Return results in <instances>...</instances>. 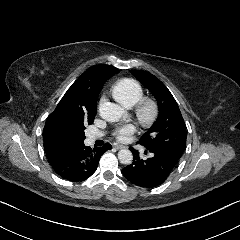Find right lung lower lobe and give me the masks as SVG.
Segmentation results:
<instances>
[{"mask_svg":"<svg viewBox=\"0 0 240 240\" xmlns=\"http://www.w3.org/2000/svg\"><path fill=\"white\" fill-rule=\"evenodd\" d=\"M109 143L97 149H91L84 143L76 147L57 148L46 152L53 170L61 178L79 182L89 178L97 169L99 159L107 150Z\"/></svg>","mask_w":240,"mask_h":240,"instance_id":"98d812e1","label":"right lung lower lobe"}]
</instances>
